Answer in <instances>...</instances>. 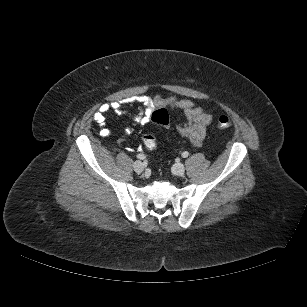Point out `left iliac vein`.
Returning <instances> with one entry per match:
<instances>
[{
    "label": "left iliac vein",
    "mask_w": 307,
    "mask_h": 307,
    "mask_svg": "<svg viewBox=\"0 0 307 307\" xmlns=\"http://www.w3.org/2000/svg\"><path fill=\"white\" fill-rule=\"evenodd\" d=\"M185 172V166L182 163H177L173 167V173L175 175L181 176Z\"/></svg>",
    "instance_id": "4c4485c4"
}]
</instances>
